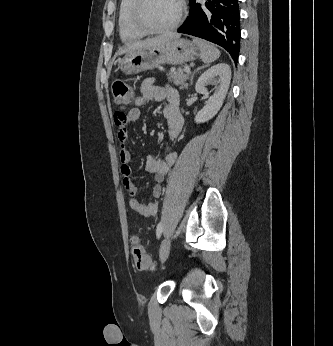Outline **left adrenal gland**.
I'll list each match as a JSON object with an SVG mask.
<instances>
[{"instance_id":"left-adrenal-gland-1","label":"left adrenal gland","mask_w":333,"mask_h":346,"mask_svg":"<svg viewBox=\"0 0 333 346\" xmlns=\"http://www.w3.org/2000/svg\"><path fill=\"white\" fill-rule=\"evenodd\" d=\"M202 67H204V66H202ZM202 67H198L196 70L193 71V73L191 74V83H192V81H193L194 74H195L197 71H199Z\"/></svg>"}]
</instances>
